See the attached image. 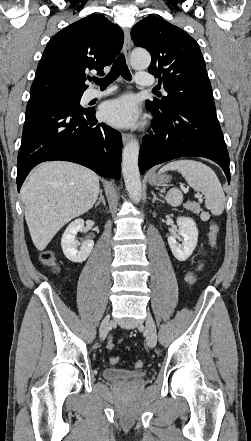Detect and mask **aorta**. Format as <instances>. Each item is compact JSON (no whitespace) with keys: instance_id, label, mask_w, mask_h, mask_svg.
I'll return each mask as SVG.
<instances>
[{"instance_id":"aorta-1","label":"aorta","mask_w":251,"mask_h":441,"mask_svg":"<svg viewBox=\"0 0 251 441\" xmlns=\"http://www.w3.org/2000/svg\"><path fill=\"white\" fill-rule=\"evenodd\" d=\"M151 62L150 54L145 50H134L131 65L135 69H147ZM139 143L130 140L122 152V173L127 192L133 202L138 203L142 196V184L138 167Z\"/></svg>"}]
</instances>
